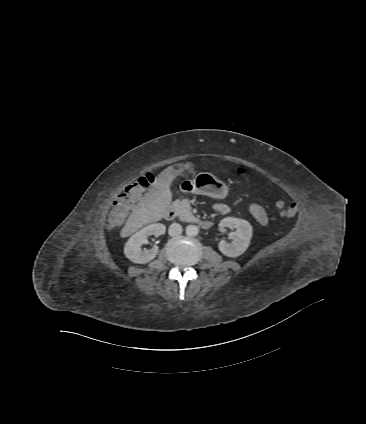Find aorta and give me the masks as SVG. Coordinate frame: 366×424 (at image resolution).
Masks as SVG:
<instances>
[{
  "label": "aorta",
  "instance_id": "762f6f07",
  "mask_svg": "<svg viewBox=\"0 0 366 424\" xmlns=\"http://www.w3.org/2000/svg\"><path fill=\"white\" fill-rule=\"evenodd\" d=\"M198 232V227L196 225H188L186 227V235L188 236H196Z\"/></svg>",
  "mask_w": 366,
  "mask_h": 424
}]
</instances>
